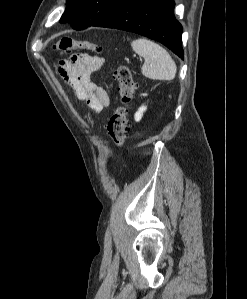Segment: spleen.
I'll return each instance as SVG.
<instances>
[{
    "label": "spleen",
    "instance_id": "1",
    "mask_svg": "<svg viewBox=\"0 0 247 299\" xmlns=\"http://www.w3.org/2000/svg\"><path fill=\"white\" fill-rule=\"evenodd\" d=\"M131 47L135 53L145 60L141 67V72L145 77L169 81L175 78L176 64L170 54L159 44L139 38L132 41Z\"/></svg>",
    "mask_w": 247,
    "mask_h": 299
}]
</instances>
